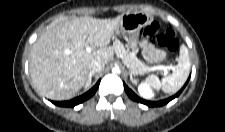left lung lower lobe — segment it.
Returning <instances> with one entry per match:
<instances>
[{"mask_svg": "<svg viewBox=\"0 0 225 132\" xmlns=\"http://www.w3.org/2000/svg\"><path fill=\"white\" fill-rule=\"evenodd\" d=\"M187 84V83H186ZM186 84L183 86V88L177 93L175 94L174 96L170 97V98H167V99H164V100H161V101H158V102H150V101H146V100H143L141 98H139L131 89H129L126 84L124 83V88H125V91L126 93L128 94V96L134 100V101H137V102H140V103H143L149 107H158V106H163L165 104H167L168 102H170L172 99L178 97L180 95V93L183 91L184 87L186 86Z\"/></svg>", "mask_w": 225, "mask_h": 132, "instance_id": "obj_1", "label": "left lung lower lobe"}]
</instances>
